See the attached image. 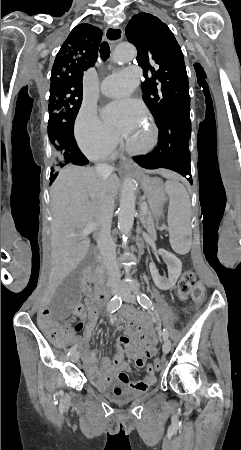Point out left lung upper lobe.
Returning a JSON list of instances; mask_svg holds the SVG:
<instances>
[{"label":"left lung upper lobe","instance_id":"1","mask_svg":"<svg viewBox=\"0 0 241 450\" xmlns=\"http://www.w3.org/2000/svg\"><path fill=\"white\" fill-rule=\"evenodd\" d=\"M137 48V63L144 70L143 100L156 122L177 106L189 104V86L183 54L174 35L149 13L134 15L125 29ZM151 64H157L155 70ZM151 70V77L147 70Z\"/></svg>","mask_w":241,"mask_h":450}]
</instances>
